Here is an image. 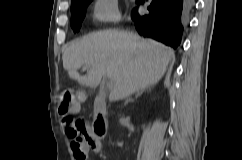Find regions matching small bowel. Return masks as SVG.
<instances>
[{
  "label": "small bowel",
  "instance_id": "c3829d8e",
  "mask_svg": "<svg viewBox=\"0 0 242 160\" xmlns=\"http://www.w3.org/2000/svg\"><path fill=\"white\" fill-rule=\"evenodd\" d=\"M79 111V108L77 109ZM96 141V139L93 137L91 130L89 127L86 126V137L85 139L80 142L79 149L73 147V151L75 152L76 159L79 160V153L87 154L91 149H93V145Z\"/></svg>",
  "mask_w": 242,
  "mask_h": 160
}]
</instances>
